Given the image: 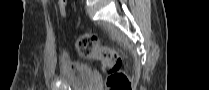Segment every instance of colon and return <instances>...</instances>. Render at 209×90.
<instances>
[{
  "label": "colon",
  "instance_id": "colon-1",
  "mask_svg": "<svg viewBox=\"0 0 209 90\" xmlns=\"http://www.w3.org/2000/svg\"><path fill=\"white\" fill-rule=\"evenodd\" d=\"M67 0L58 1V10L62 16L66 15ZM77 52L81 57L98 59L103 70L107 73V87L109 90H131V83L122 71V57L112 48L103 46L97 35L84 33L76 38Z\"/></svg>",
  "mask_w": 209,
  "mask_h": 90
}]
</instances>
